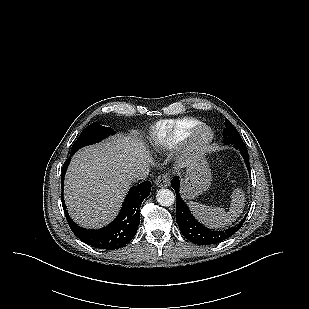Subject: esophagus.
Segmentation results:
<instances>
[{
	"instance_id": "1",
	"label": "esophagus",
	"mask_w": 309,
	"mask_h": 309,
	"mask_svg": "<svg viewBox=\"0 0 309 309\" xmlns=\"http://www.w3.org/2000/svg\"><path fill=\"white\" fill-rule=\"evenodd\" d=\"M169 184H170V176L168 174H162L158 176L157 179L155 180V185L160 188L167 187L169 186Z\"/></svg>"
}]
</instances>
